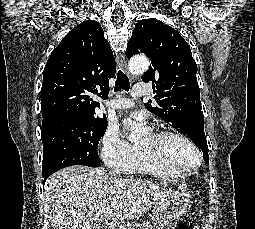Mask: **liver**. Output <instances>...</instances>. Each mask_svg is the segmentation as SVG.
<instances>
[{"label": "liver", "mask_w": 255, "mask_h": 229, "mask_svg": "<svg viewBox=\"0 0 255 229\" xmlns=\"http://www.w3.org/2000/svg\"><path fill=\"white\" fill-rule=\"evenodd\" d=\"M173 193L148 180L109 178L103 167L77 165L48 178L44 205L52 229H95L108 220L141 217Z\"/></svg>", "instance_id": "1"}]
</instances>
